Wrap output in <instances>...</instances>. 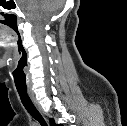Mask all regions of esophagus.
<instances>
[{"label": "esophagus", "mask_w": 127, "mask_h": 126, "mask_svg": "<svg viewBox=\"0 0 127 126\" xmlns=\"http://www.w3.org/2000/svg\"><path fill=\"white\" fill-rule=\"evenodd\" d=\"M28 93H29L31 99L34 101V95H33V93L31 91H28Z\"/></svg>", "instance_id": "obj_1"}]
</instances>
